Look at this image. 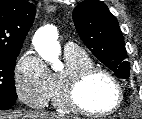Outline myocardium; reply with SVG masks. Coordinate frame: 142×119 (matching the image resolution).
Returning <instances> with one entry per match:
<instances>
[{"mask_svg": "<svg viewBox=\"0 0 142 119\" xmlns=\"http://www.w3.org/2000/svg\"><path fill=\"white\" fill-rule=\"evenodd\" d=\"M103 75L107 77L117 90V101L115 105L106 111L96 112L88 109L80 100V92L85 84L94 76ZM124 95L120 81L105 68L91 65L74 72L65 73L61 79L60 102L65 109L75 113L92 116L105 117L118 111L123 103Z\"/></svg>", "mask_w": 142, "mask_h": 119, "instance_id": "obj_1", "label": "myocardium"}]
</instances>
